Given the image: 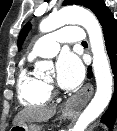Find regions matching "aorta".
Listing matches in <instances>:
<instances>
[{"label": "aorta", "instance_id": "762f6f07", "mask_svg": "<svg viewBox=\"0 0 117 131\" xmlns=\"http://www.w3.org/2000/svg\"><path fill=\"white\" fill-rule=\"evenodd\" d=\"M79 24L88 35L93 53V70L97 84L94 98L78 118L73 131H84L107 107L112 96L113 78L105 51L103 34L97 18L88 10L81 7H66L44 19L39 29L50 32L65 24ZM51 65L46 61L35 63V72L40 75L49 70Z\"/></svg>", "mask_w": 117, "mask_h": 131}]
</instances>
